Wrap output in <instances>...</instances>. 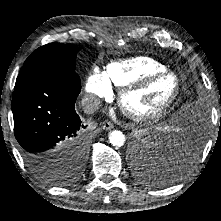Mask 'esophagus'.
<instances>
[{
  "label": "esophagus",
  "instance_id": "obj_1",
  "mask_svg": "<svg viewBox=\"0 0 221 221\" xmlns=\"http://www.w3.org/2000/svg\"><path fill=\"white\" fill-rule=\"evenodd\" d=\"M114 127V125L110 122V121H104L103 123H102V128L104 129V130H110V129H112Z\"/></svg>",
  "mask_w": 221,
  "mask_h": 221
}]
</instances>
